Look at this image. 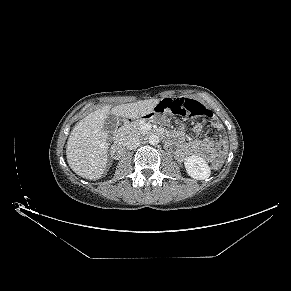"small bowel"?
I'll list each match as a JSON object with an SVG mask.
<instances>
[{"label":"small bowel","mask_w":291,"mask_h":291,"mask_svg":"<svg viewBox=\"0 0 291 291\" xmlns=\"http://www.w3.org/2000/svg\"><path fill=\"white\" fill-rule=\"evenodd\" d=\"M211 125L216 130H219L221 128V125L218 122H212ZM202 127V123H197L194 126V131L196 133H200L202 131ZM183 134L184 124L179 123L178 129L172 135L173 140L179 143L178 149L176 151L178 158L184 159L189 155L195 154L203 157L205 160L210 162L219 159L218 151L215 148V142L212 139L204 138L200 140H194L189 143H182Z\"/></svg>","instance_id":"small-bowel-1"}]
</instances>
